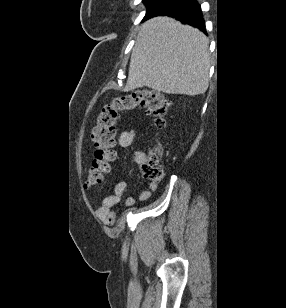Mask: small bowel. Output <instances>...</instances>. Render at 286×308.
Returning a JSON list of instances; mask_svg holds the SVG:
<instances>
[{
    "label": "small bowel",
    "mask_w": 286,
    "mask_h": 308,
    "mask_svg": "<svg viewBox=\"0 0 286 308\" xmlns=\"http://www.w3.org/2000/svg\"><path fill=\"white\" fill-rule=\"evenodd\" d=\"M144 133H145L144 128L122 131L118 139V146L121 149H127L133 144L134 140L137 137L143 135ZM134 158L138 164H141L145 160V153L141 150H136L134 152ZM156 188L157 184L151 183L149 190L141 192L139 196L140 200L145 201L149 199L151 194L156 190ZM125 189H126V183L118 182L114 185L112 193L101 201L97 210V214L98 217L105 223L112 224L114 222L115 213L113 211V207L121 201V199L124 196ZM134 202L135 201L132 197H127L125 199V204L128 206L133 205Z\"/></svg>",
    "instance_id": "small-bowel-1"
}]
</instances>
